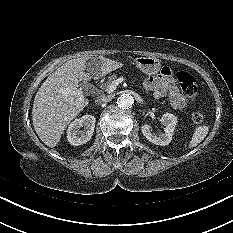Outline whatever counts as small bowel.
Wrapping results in <instances>:
<instances>
[{"instance_id": "small-bowel-1", "label": "small bowel", "mask_w": 233, "mask_h": 233, "mask_svg": "<svg viewBox=\"0 0 233 233\" xmlns=\"http://www.w3.org/2000/svg\"><path fill=\"white\" fill-rule=\"evenodd\" d=\"M144 87L153 91L155 98L168 96L170 104L176 109L186 106L187 99L176 86L172 71L168 67H163L159 74L148 77L144 81Z\"/></svg>"}]
</instances>
